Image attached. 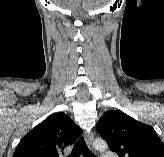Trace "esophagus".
<instances>
[{
    "mask_svg": "<svg viewBox=\"0 0 164 157\" xmlns=\"http://www.w3.org/2000/svg\"><path fill=\"white\" fill-rule=\"evenodd\" d=\"M85 139H86V142L88 144V146L93 149V140H94V135L93 133H86L85 134Z\"/></svg>",
    "mask_w": 164,
    "mask_h": 157,
    "instance_id": "esophagus-1",
    "label": "esophagus"
}]
</instances>
